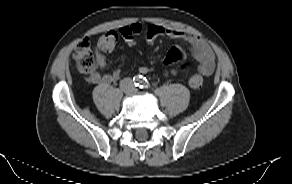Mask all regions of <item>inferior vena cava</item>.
Listing matches in <instances>:
<instances>
[{
    "label": "inferior vena cava",
    "instance_id": "1",
    "mask_svg": "<svg viewBox=\"0 0 292 184\" xmlns=\"http://www.w3.org/2000/svg\"><path fill=\"white\" fill-rule=\"evenodd\" d=\"M120 87L124 92L130 93L134 89L133 82L130 78H125L121 81Z\"/></svg>",
    "mask_w": 292,
    "mask_h": 184
}]
</instances>
